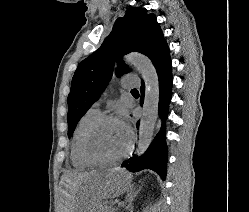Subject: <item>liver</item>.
<instances>
[{"instance_id": "liver-1", "label": "liver", "mask_w": 249, "mask_h": 212, "mask_svg": "<svg viewBox=\"0 0 249 212\" xmlns=\"http://www.w3.org/2000/svg\"><path fill=\"white\" fill-rule=\"evenodd\" d=\"M131 174L123 170V168H114V170H106V172H75L68 174L66 178L68 186V212H76L78 210L77 194L80 192L82 184L92 182V192L98 200H106V198H118L125 192H128L131 184ZM92 206H98L92 202Z\"/></svg>"}]
</instances>
